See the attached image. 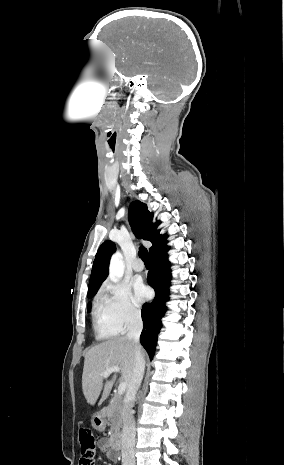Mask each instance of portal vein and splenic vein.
<instances>
[{
	"mask_svg": "<svg viewBox=\"0 0 284 465\" xmlns=\"http://www.w3.org/2000/svg\"><path fill=\"white\" fill-rule=\"evenodd\" d=\"M121 369H119V367H109V369H106V371H104V373H102V377H109V375H111V373H120ZM126 383H120L119 387H118V395L119 397H121V395H123V393H125L126 391Z\"/></svg>",
	"mask_w": 284,
	"mask_h": 465,
	"instance_id": "obj_1",
	"label": "portal vein and splenic vein"
}]
</instances>
